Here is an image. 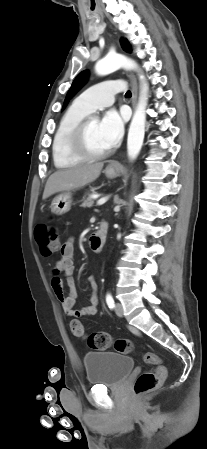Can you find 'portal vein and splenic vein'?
<instances>
[{"mask_svg":"<svg viewBox=\"0 0 207 449\" xmlns=\"http://www.w3.org/2000/svg\"><path fill=\"white\" fill-rule=\"evenodd\" d=\"M108 198L109 197H102V198H100L98 201H97V205H103V204H105L106 202H107V200H108Z\"/></svg>","mask_w":207,"mask_h":449,"instance_id":"obj_1","label":"portal vein and splenic vein"}]
</instances>
